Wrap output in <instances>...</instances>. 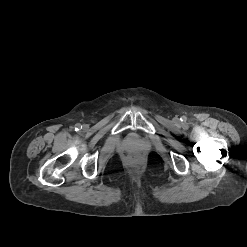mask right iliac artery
Here are the masks:
<instances>
[{
    "instance_id": "right-iliac-artery-1",
    "label": "right iliac artery",
    "mask_w": 247,
    "mask_h": 247,
    "mask_svg": "<svg viewBox=\"0 0 247 247\" xmlns=\"http://www.w3.org/2000/svg\"><path fill=\"white\" fill-rule=\"evenodd\" d=\"M80 129H81V125H80V124H76V125H75V130L78 131V130H80Z\"/></svg>"
}]
</instances>
